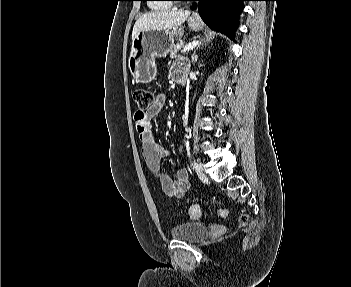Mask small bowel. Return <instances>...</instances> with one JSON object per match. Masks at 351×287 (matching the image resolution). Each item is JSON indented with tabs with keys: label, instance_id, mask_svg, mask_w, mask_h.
I'll use <instances>...</instances> for the list:
<instances>
[{
	"label": "small bowel",
	"instance_id": "obj_1",
	"mask_svg": "<svg viewBox=\"0 0 351 287\" xmlns=\"http://www.w3.org/2000/svg\"><path fill=\"white\" fill-rule=\"evenodd\" d=\"M172 72L183 75L185 66L183 62H176L172 65ZM166 104V95L157 94L153 105L145 113H135L136 130L141 141V152L146 166L159 181L162 190L168 196L181 197L190 188L188 171L186 168H179L176 171L175 179L161 171V159L169 156V150L163 148L151 131V119L156 117ZM182 149L179 147V152Z\"/></svg>",
	"mask_w": 351,
	"mask_h": 287
}]
</instances>
